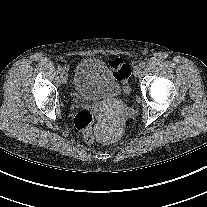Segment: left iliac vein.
Segmentation results:
<instances>
[{"label":"left iliac vein","instance_id":"obj_1","mask_svg":"<svg viewBox=\"0 0 207 207\" xmlns=\"http://www.w3.org/2000/svg\"><path fill=\"white\" fill-rule=\"evenodd\" d=\"M141 74V67L137 66L134 70V76L139 77Z\"/></svg>","mask_w":207,"mask_h":207}]
</instances>
